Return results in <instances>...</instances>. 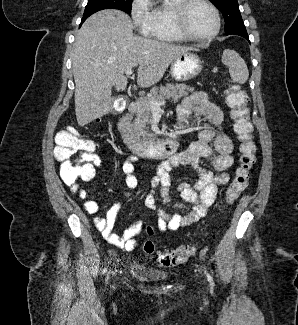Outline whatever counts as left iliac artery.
I'll list each match as a JSON object with an SVG mask.
<instances>
[{
	"instance_id": "obj_1",
	"label": "left iliac artery",
	"mask_w": 298,
	"mask_h": 325,
	"mask_svg": "<svg viewBox=\"0 0 298 325\" xmlns=\"http://www.w3.org/2000/svg\"><path fill=\"white\" fill-rule=\"evenodd\" d=\"M205 274H206V277H207V279L209 281L210 286H214V281H213L212 276L206 270H205Z\"/></svg>"
}]
</instances>
